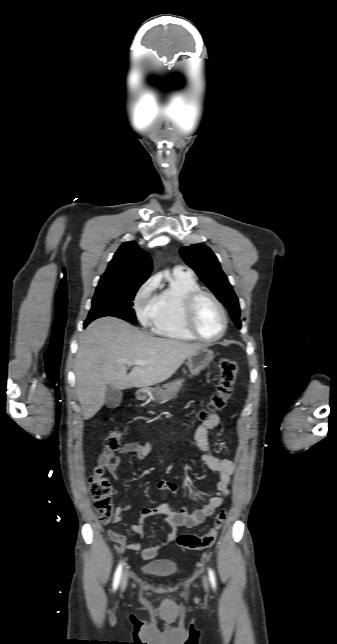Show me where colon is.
Instances as JSON below:
<instances>
[{
  "mask_svg": "<svg viewBox=\"0 0 337 644\" xmlns=\"http://www.w3.org/2000/svg\"><path fill=\"white\" fill-rule=\"evenodd\" d=\"M219 380L216 392L196 412V418L205 421L210 414L222 410L232 393L235 382L237 365L233 360L222 359L218 364ZM121 434L118 431H111L104 440V446L109 450H116L120 446ZM104 468L98 466L94 469L89 478V489L94 500L95 511L99 520L109 523L113 514V503L111 497V486L108 480L103 477ZM226 520V511L221 510L214 519L212 527L202 535L182 534L178 537L179 547L187 550H202L211 547L216 541L218 531Z\"/></svg>",
  "mask_w": 337,
  "mask_h": 644,
  "instance_id": "colon-1",
  "label": "colon"
}]
</instances>
